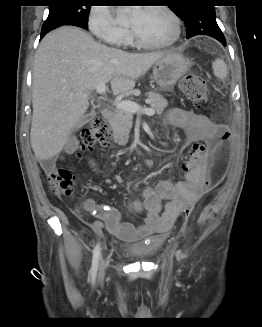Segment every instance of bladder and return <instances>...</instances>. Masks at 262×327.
<instances>
[{
	"label": "bladder",
	"instance_id": "1",
	"mask_svg": "<svg viewBox=\"0 0 262 327\" xmlns=\"http://www.w3.org/2000/svg\"><path fill=\"white\" fill-rule=\"evenodd\" d=\"M165 244V239L156 242V237L149 243L137 242L125 247V251L135 261H148L150 260Z\"/></svg>",
	"mask_w": 262,
	"mask_h": 327
}]
</instances>
